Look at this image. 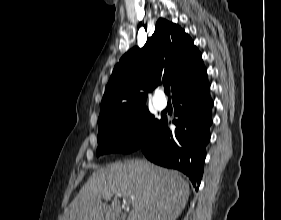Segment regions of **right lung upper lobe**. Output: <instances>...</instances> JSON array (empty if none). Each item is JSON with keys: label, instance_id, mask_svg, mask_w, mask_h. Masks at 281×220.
<instances>
[{"label": "right lung upper lobe", "instance_id": "1", "mask_svg": "<svg viewBox=\"0 0 281 220\" xmlns=\"http://www.w3.org/2000/svg\"><path fill=\"white\" fill-rule=\"evenodd\" d=\"M207 79L201 53L178 25L160 18L143 48L134 47L115 66L101 102L98 125L146 108L147 92L161 82L172 94Z\"/></svg>", "mask_w": 281, "mask_h": 220}]
</instances>
